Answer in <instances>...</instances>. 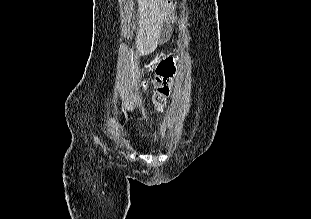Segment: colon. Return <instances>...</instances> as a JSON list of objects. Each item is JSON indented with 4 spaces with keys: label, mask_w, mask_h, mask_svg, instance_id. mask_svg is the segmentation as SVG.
Instances as JSON below:
<instances>
[{
    "label": "colon",
    "mask_w": 311,
    "mask_h": 219,
    "mask_svg": "<svg viewBox=\"0 0 311 219\" xmlns=\"http://www.w3.org/2000/svg\"><path fill=\"white\" fill-rule=\"evenodd\" d=\"M176 61L172 57L165 58L160 62L156 69V77L154 83L156 91L153 96L154 115L161 112L170 95L169 82L176 74Z\"/></svg>",
    "instance_id": "1"
}]
</instances>
